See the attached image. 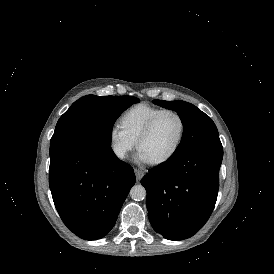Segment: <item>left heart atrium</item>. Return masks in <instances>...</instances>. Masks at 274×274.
I'll use <instances>...</instances> for the list:
<instances>
[{"instance_id":"left-heart-atrium-1","label":"left heart atrium","mask_w":274,"mask_h":274,"mask_svg":"<svg viewBox=\"0 0 274 274\" xmlns=\"http://www.w3.org/2000/svg\"><path fill=\"white\" fill-rule=\"evenodd\" d=\"M136 159L139 162H143V163L147 162V160L145 159L144 155L141 152H139V151H138V154L136 156Z\"/></svg>"}]
</instances>
